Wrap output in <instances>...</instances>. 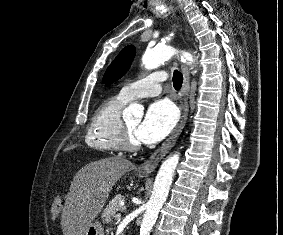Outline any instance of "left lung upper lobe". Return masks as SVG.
I'll list each match as a JSON object with an SVG mask.
<instances>
[{
    "instance_id": "obj_1",
    "label": "left lung upper lobe",
    "mask_w": 283,
    "mask_h": 235,
    "mask_svg": "<svg viewBox=\"0 0 283 235\" xmlns=\"http://www.w3.org/2000/svg\"><path fill=\"white\" fill-rule=\"evenodd\" d=\"M134 56V46L129 45L123 48L106 70L105 75L103 77V82L108 85L122 77L129 69Z\"/></svg>"
}]
</instances>
